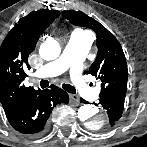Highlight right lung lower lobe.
Masks as SVG:
<instances>
[{
    "label": "right lung lower lobe",
    "instance_id": "obj_1",
    "mask_svg": "<svg viewBox=\"0 0 147 147\" xmlns=\"http://www.w3.org/2000/svg\"><path fill=\"white\" fill-rule=\"evenodd\" d=\"M68 102V94L59 87L51 85L50 89L41 90L32 101L18 112L7 116V119L20 133L37 136L44 132L53 107Z\"/></svg>",
    "mask_w": 147,
    "mask_h": 147
}]
</instances>
